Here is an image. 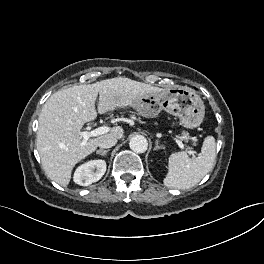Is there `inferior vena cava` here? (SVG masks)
<instances>
[{
    "label": "inferior vena cava",
    "mask_w": 264,
    "mask_h": 264,
    "mask_svg": "<svg viewBox=\"0 0 264 264\" xmlns=\"http://www.w3.org/2000/svg\"><path fill=\"white\" fill-rule=\"evenodd\" d=\"M117 143V139L113 136H105L103 137L98 146L100 148H111L112 146H114Z\"/></svg>",
    "instance_id": "602c4592"
}]
</instances>
